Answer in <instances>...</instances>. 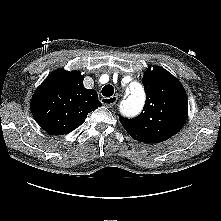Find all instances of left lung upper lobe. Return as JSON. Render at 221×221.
<instances>
[{
  "instance_id": "obj_1",
  "label": "left lung upper lobe",
  "mask_w": 221,
  "mask_h": 221,
  "mask_svg": "<svg viewBox=\"0 0 221 221\" xmlns=\"http://www.w3.org/2000/svg\"><path fill=\"white\" fill-rule=\"evenodd\" d=\"M146 103L134 119L119 120L129 135L140 142L159 143L174 136L188 114L187 95L182 84L167 70L154 67L143 75Z\"/></svg>"
}]
</instances>
